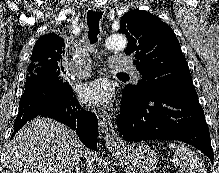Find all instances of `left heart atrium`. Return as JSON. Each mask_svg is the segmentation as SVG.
Returning <instances> with one entry per match:
<instances>
[{"label":"left heart atrium","instance_id":"left-heart-atrium-1","mask_svg":"<svg viewBox=\"0 0 219 173\" xmlns=\"http://www.w3.org/2000/svg\"><path fill=\"white\" fill-rule=\"evenodd\" d=\"M78 96L83 103L95 107H108L113 99L112 90L104 80L81 84Z\"/></svg>","mask_w":219,"mask_h":173}]
</instances>
